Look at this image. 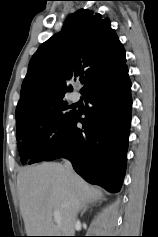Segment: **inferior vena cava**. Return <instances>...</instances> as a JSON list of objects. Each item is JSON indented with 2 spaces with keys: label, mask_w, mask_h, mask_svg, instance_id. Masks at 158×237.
<instances>
[{
  "label": "inferior vena cava",
  "mask_w": 158,
  "mask_h": 237,
  "mask_svg": "<svg viewBox=\"0 0 158 237\" xmlns=\"http://www.w3.org/2000/svg\"><path fill=\"white\" fill-rule=\"evenodd\" d=\"M64 166H65V168H66L69 172L73 170V169H72L71 162H70L69 160H65V161H64Z\"/></svg>",
  "instance_id": "inferior-vena-cava-1"
}]
</instances>
